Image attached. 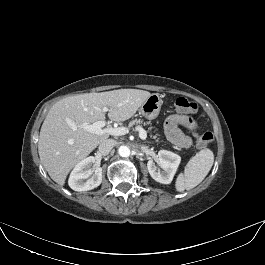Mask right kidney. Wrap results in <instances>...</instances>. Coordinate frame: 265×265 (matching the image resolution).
I'll use <instances>...</instances> for the list:
<instances>
[{
  "instance_id": "1",
  "label": "right kidney",
  "mask_w": 265,
  "mask_h": 265,
  "mask_svg": "<svg viewBox=\"0 0 265 265\" xmlns=\"http://www.w3.org/2000/svg\"><path fill=\"white\" fill-rule=\"evenodd\" d=\"M95 162L96 159L90 156L76 164L68 180L71 189L78 192L88 191L102 183V168H91Z\"/></svg>"
}]
</instances>
